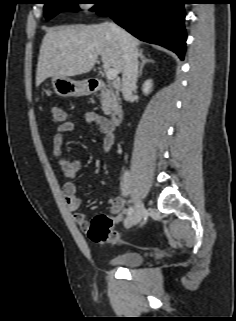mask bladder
Returning a JSON list of instances; mask_svg holds the SVG:
<instances>
[{
	"label": "bladder",
	"instance_id": "31cf9c89",
	"mask_svg": "<svg viewBox=\"0 0 236 321\" xmlns=\"http://www.w3.org/2000/svg\"><path fill=\"white\" fill-rule=\"evenodd\" d=\"M144 260V255L142 252L139 251H128L112 257L109 259V263L112 265H117L121 267H137L142 264Z\"/></svg>",
	"mask_w": 236,
	"mask_h": 321
}]
</instances>
